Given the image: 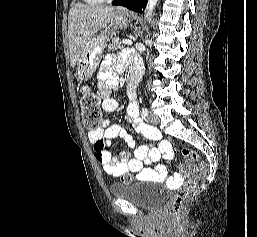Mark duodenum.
<instances>
[{
	"label": "duodenum",
	"mask_w": 257,
	"mask_h": 237,
	"mask_svg": "<svg viewBox=\"0 0 257 237\" xmlns=\"http://www.w3.org/2000/svg\"><path fill=\"white\" fill-rule=\"evenodd\" d=\"M130 75L131 79L127 85V93L131 100L135 99V86L138 79V67L136 65H132L130 67Z\"/></svg>",
	"instance_id": "obj_1"
}]
</instances>
